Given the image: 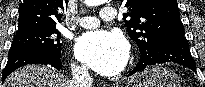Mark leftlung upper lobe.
Masks as SVG:
<instances>
[{"instance_id": "1", "label": "left lung upper lobe", "mask_w": 205, "mask_h": 87, "mask_svg": "<svg viewBox=\"0 0 205 87\" xmlns=\"http://www.w3.org/2000/svg\"><path fill=\"white\" fill-rule=\"evenodd\" d=\"M129 13L123 15L129 36L136 42L140 58L156 53L168 34L184 31L176 0H121Z\"/></svg>"}]
</instances>
